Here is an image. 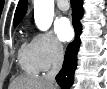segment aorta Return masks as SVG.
Returning <instances> with one entry per match:
<instances>
[{
	"mask_svg": "<svg viewBox=\"0 0 107 89\" xmlns=\"http://www.w3.org/2000/svg\"><path fill=\"white\" fill-rule=\"evenodd\" d=\"M54 17V0H34V19L37 28L47 31Z\"/></svg>",
	"mask_w": 107,
	"mask_h": 89,
	"instance_id": "aorta-1",
	"label": "aorta"
}]
</instances>
